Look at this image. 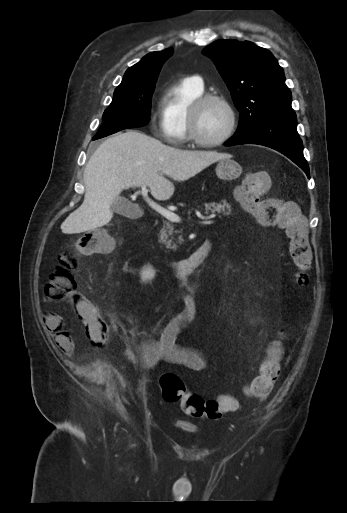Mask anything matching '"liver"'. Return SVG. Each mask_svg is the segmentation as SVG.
<instances>
[{"label":"liver","mask_w":347,"mask_h":513,"mask_svg":"<svg viewBox=\"0 0 347 513\" xmlns=\"http://www.w3.org/2000/svg\"><path fill=\"white\" fill-rule=\"evenodd\" d=\"M231 158L216 151H189L164 145L142 132L129 130L106 139L84 171L82 205L61 224L65 234L94 230L107 225L111 206L124 189L144 184L158 200H168L176 181H186L216 161Z\"/></svg>","instance_id":"obj_1"}]
</instances>
